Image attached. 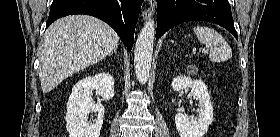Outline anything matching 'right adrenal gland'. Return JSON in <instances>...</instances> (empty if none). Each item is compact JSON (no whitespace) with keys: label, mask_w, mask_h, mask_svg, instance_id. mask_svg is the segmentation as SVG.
Masks as SVG:
<instances>
[{"label":"right adrenal gland","mask_w":280,"mask_h":137,"mask_svg":"<svg viewBox=\"0 0 280 137\" xmlns=\"http://www.w3.org/2000/svg\"><path fill=\"white\" fill-rule=\"evenodd\" d=\"M111 54H116L117 56H119L118 52H117V48L114 49V51Z\"/></svg>","instance_id":"2a0ac1e0"}]
</instances>
